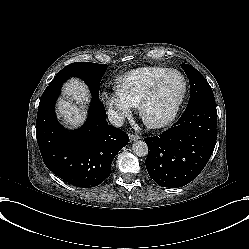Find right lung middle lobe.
I'll return each mask as SVG.
<instances>
[{
	"mask_svg": "<svg viewBox=\"0 0 249 249\" xmlns=\"http://www.w3.org/2000/svg\"><path fill=\"white\" fill-rule=\"evenodd\" d=\"M107 65H101L91 62H75L64 67L51 82L52 84H59L69 77H79L83 79L90 88L92 98L99 99L100 80L105 73ZM50 83V84H51Z\"/></svg>",
	"mask_w": 249,
	"mask_h": 249,
	"instance_id": "dd1d6c3e",
	"label": "right lung middle lobe"
}]
</instances>
